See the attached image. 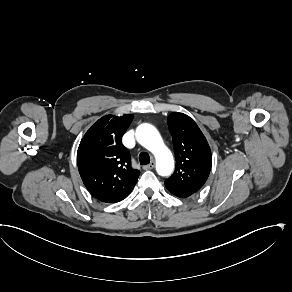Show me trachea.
Wrapping results in <instances>:
<instances>
[{
  "mask_svg": "<svg viewBox=\"0 0 292 292\" xmlns=\"http://www.w3.org/2000/svg\"><path fill=\"white\" fill-rule=\"evenodd\" d=\"M141 165H148L150 163V156L147 152H141L139 155Z\"/></svg>",
  "mask_w": 292,
  "mask_h": 292,
  "instance_id": "3493384b",
  "label": "trachea"
}]
</instances>
